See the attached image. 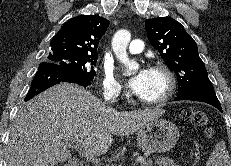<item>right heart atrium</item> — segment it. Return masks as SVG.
<instances>
[{"label": "right heart atrium", "instance_id": "d8ad5b80", "mask_svg": "<svg viewBox=\"0 0 231 166\" xmlns=\"http://www.w3.org/2000/svg\"><path fill=\"white\" fill-rule=\"evenodd\" d=\"M103 94L109 99H117L123 94L122 84L111 70H106L103 79Z\"/></svg>", "mask_w": 231, "mask_h": 166}]
</instances>
